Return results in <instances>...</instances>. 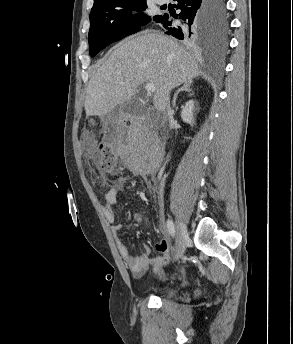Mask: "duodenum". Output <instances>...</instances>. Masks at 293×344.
<instances>
[{
  "label": "duodenum",
  "instance_id": "obj_1",
  "mask_svg": "<svg viewBox=\"0 0 293 344\" xmlns=\"http://www.w3.org/2000/svg\"><path fill=\"white\" fill-rule=\"evenodd\" d=\"M126 122H128L129 124H131V125H135V120H133V119H131V120H126Z\"/></svg>",
  "mask_w": 293,
  "mask_h": 344
}]
</instances>
